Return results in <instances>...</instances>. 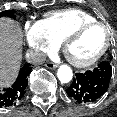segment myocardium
I'll use <instances>...</instances> for the list:
<instances>
[{
	"label": "myocardium",
	"mask_w": 117,
	"mask_h": 117,
	"mask_svg": "<svg viewBox=\"0 0 117 117\" xmlns=\"http://www.w3.org/2000/svg\"><path fill=\"white\" fill-rule=\"evenodd\" d=\"M94 26H100L106 30L107 37H106V41H105V44L102 47V49L96 55H94L93 57H91L90 59L85 60V61H78V60L71 58L67 52L68 46L75 39H77L85 30H87L88 28L94 27ZM112 38H113V32L107 24L100 22V21L86 22V23H83V24L79 25L78 27H76L63 39L62 49H63V52H64L65 56L67 57L68 61L72 65H74L75 67H78V68H87V67H90L93 64H95L97 61H99L104 56V54L107 52V50L109 49V47L111 45Z\"/></svg>",
	"instance_id": "f54148a6"
}]
</instances>
